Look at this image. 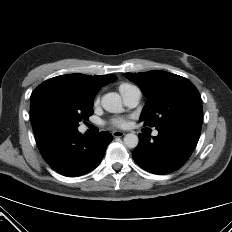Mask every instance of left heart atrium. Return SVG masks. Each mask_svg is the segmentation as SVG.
Returning <instances> with one entry per match:
<instances>
[{"instance_id": "left-heart-atrium-1", "label": "left heart atrium", "mask_w": 232, "mask_h": 232, "mask_svg": "<svg viewBox=\"0 0 232 232\" xmlns=\"http://www.w3.org/2000/svg\"><path fill=\"white\" fill-rule=\"evenodd\" d=\"M111 124L117 127H125L127 125V120L123 118H117V119H113L111 121Z\"/></svg>"}]
</instances>
